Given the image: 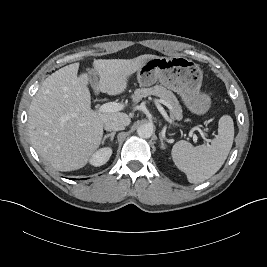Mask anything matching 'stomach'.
<instances>
[{"instance_id": "obj_1", "label": "stomach", "mask_w": 267, "mask_h": 267, "mask_svg": "<svg viewBox=\"0 0 267 267\" xmlns=\"http://www.w3.org/2000/svg\"><path fill=\"white\" fill-rule=\"evenodd\" d=\"M137 80L142 87L159 81L163 86L177 92L194 114H205L210 108V96L200 92L203 73L196 63L185 57L150 55L137 71Z\"/></svg>"}]
</instances>
